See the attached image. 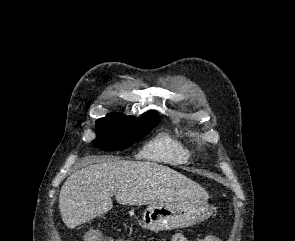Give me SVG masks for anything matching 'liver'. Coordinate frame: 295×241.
I'll list each match as a JSON object with an SVG mask.
<instances>
[{
  "label": "liver",
  "instance_id": "6515ba94",
  "mask_svg": "<svg viewBox=\"0 0 295 241\" xmlns=\"http://www.w3.org/2000/svg\"><path fill=\"white\" fill-rule=\"evenodd\" d=\"M122 205H151L208 198L206 190L185 175L153 162L98 158L73 172L59 195L62 220L75 228Z\"/></svg>",
  "mask_w": 295,
  "mask_h": 241
}]
</instances>
